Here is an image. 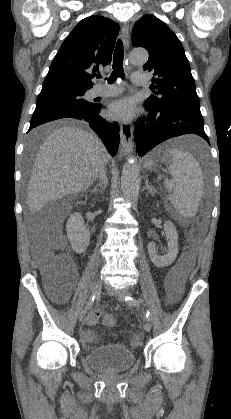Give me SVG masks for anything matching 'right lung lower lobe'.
Instances as JSON below:
<instances>
[{"mask_svg":"<svg viewBox=\"0 0 231 419\" xmlns=\"http://www.w3.org/2000/svg\"><path fill=\"white\" fill-rule=\"evenodd\" d=\"M100 104L74 105L68 103L37 104L28 132L39 124L60 119L74 118L86 121L102 139L112 156L116 155L120 142V128L116 123H109L99 115Z\"/></svg>","mask_w":231,"mask_h":419,"instance_id":"right-lung-lower-lobe-1","label":"right lung lower lobe"}]
</instances>
